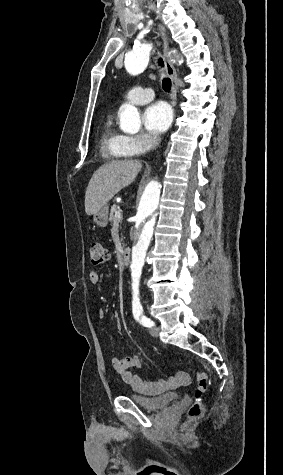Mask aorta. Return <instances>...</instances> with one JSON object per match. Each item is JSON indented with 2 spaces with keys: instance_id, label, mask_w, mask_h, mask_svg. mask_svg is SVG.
Listing matches in <instances>:
<instances>
[{
  "instance_id": "762f6f07",
  "label": "aorta",
  "mask_w": 283,
  "mask_h": 475,
  "mask_svg": "<svg viewBox=\"0 0 283 475\" xmlns=\"http://www.w3.org/2000/svg\"><path fill=\"white\" fill-rule=\"evenodd\" d=\"M152 46L142 44L135 47L125 56V68L128 73H142L149 62ZM120 128L126 133H137L141 127L138 109L132 105H122L119 111ZM164 187L160 180L155 179L139 188L132 217V256L130 272L132 279V304L140 305L139 284L145 264L146 253L151 244L155 229L162 218Z\"/></svg>"
}]
</instances>
